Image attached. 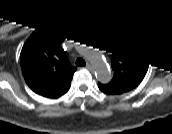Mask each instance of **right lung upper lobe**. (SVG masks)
<instances>
[{
    "instance_id": "1",
    "label": "right lung upper lobe",
    "mask_w": 172,
    "mask_h": 134,
    "mask_svg": "<svg viewBox=\"0 0 172 134\" xmlns=\"http://www.w3.org/2000/svg\"><path fill=\"white\" fill-rule=\"evenodd\" d=\"M66 28L53 23L40 25L25 42L20 63L24 79L37 94L57 98L65 94L76 68L71 66L62 42Z\"/></svg>"
}]
</instances>
